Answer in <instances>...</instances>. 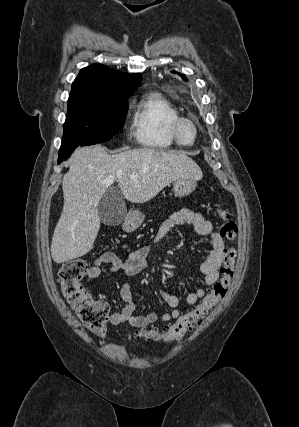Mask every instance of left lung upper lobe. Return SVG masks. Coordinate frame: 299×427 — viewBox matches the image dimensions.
Here are the masks:
<instances>
[{
  "instance_id": "5c2ea615",
  "label": "left lung upper lobe",
  "mask_w": 299,
  "mask_h": 427,
  "mask_svg": "<svg viewBox=\"0 0 299 427\" xmlns=\"http://www.w3.org/2000/svg\"><path fill=\"white\" fill-rule=\"evenodd\" d=\"M173 73H177L176 71H173ZM178 75H180L182 77L183 80L186 79V76L184 74L178 73Z\"/></svg>"
}]
</instances>
